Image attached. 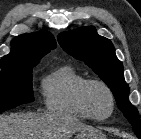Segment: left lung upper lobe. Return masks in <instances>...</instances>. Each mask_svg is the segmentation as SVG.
<instances>
[{
  "label": "left lung upper lobe",
  "mask_w": 141,
  "mask_h": 139,
  "mask_svg": "<svg viewBox=\"0 0 141 139\" xmlns=\"http://www.w3.org/2000/svg\"><path fill=\"white\" fill-rule=\"evenodd\" d=\"M61 47L70 55L84 61L108 85L119 109L141 136L138 110L128 100L129 87L124 80L123 65L115 55L112 42L98 35L94 27H83L58 35Z\"/></svg>",
  "instance_id": "left-lung-upper-lobe-1"
}]
</instances>
